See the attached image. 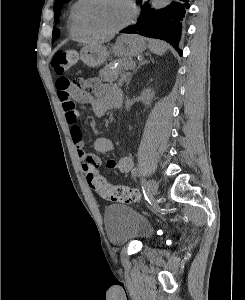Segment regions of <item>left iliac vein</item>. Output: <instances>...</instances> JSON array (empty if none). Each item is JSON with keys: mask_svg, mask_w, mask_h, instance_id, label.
<instances>
[{"mask_svg": "<svg viewBox=\"0 0 245 300\" xmlns=\"http://www.w3.org/2000/svg\"><path fill=\"white\" fill-rule=\"evenodd\" d=\"M148 187H149L150 197L154 198L158 193V183H157V181L154 180V179L149 180Z\"/></svg>", "mask_w": 245, "mask_h": 300, "instance_id": "left-iliac-vein-1", "label": "left iliac vein"}]
</instances>
